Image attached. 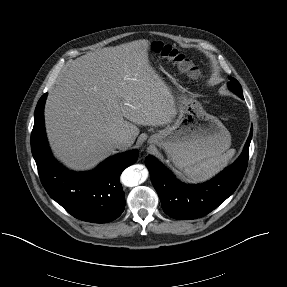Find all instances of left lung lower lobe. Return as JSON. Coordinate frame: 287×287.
<instances>
[{
    "label": "left lung lower lobe",
    "instance_id": "1",
    "mask_svg": "<svg viewBox=\"0 0 287 287\" xmlns=\"http://www.w3.org/2000/svg\"><path fill=\"white\" fill-rule=\"evenodd\" d=\"M252 133L251 127L240 157L215 178L203 184L190 185L178 181L161 162L148 156L146 166L164 212L175 219H196L207 215L232 195L247 168Z\"/></svg>",
    "mask_w": 287,
    "mask_h": 287
}]
</instances>
